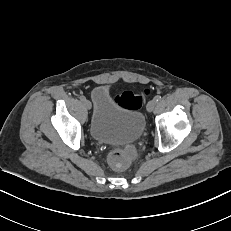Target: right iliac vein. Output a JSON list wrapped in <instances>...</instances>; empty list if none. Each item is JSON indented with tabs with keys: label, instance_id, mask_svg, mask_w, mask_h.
Wrapping results in <instances>:
<instances>
[{
	"label": "right iliac vein",
	"instance_id": "63e3f726",
	"mask_svg": "<svg viewBox=\"0 0 231 231\" xmlns=\"http://www.w3.org/2000/svg\"><path fill=\"white\" fill-rule=\"evenodd\" d=\"M83 104L85 105V107L87 108V109H91V107H92V105H91V102L89 101V100H84L83 101Z\"/></svg>",
	"mask_w": 231,
	"mask_h": 231
}]
</instances>
